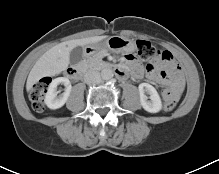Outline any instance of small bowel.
I'll list each match as a JSON object with an SVG mask.
<instances>
[{
	"label": "small bowel",
	"instance_id": "c3829d8e",
	"mask_svg": "<svg viewBox=\"0 0 219 174\" xmlns=\"http://www.w3.org/2000/svg\"><path fill=\"white\" fill-rule=\"evenodd\" d=\"M133 77L139 79L143 75L142 67L136 62L134 55L129 54L124 60ZM147 77L158 83L168 84L170 88L160 91V98L165 101L179 102L184 88V75L173 54L168 50L160 51L147 66Z\"/></svg>",
	"mask_w": 219,
	"mask_h": 174
}]
</instances>
